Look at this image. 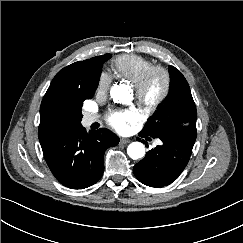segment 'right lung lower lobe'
<instances>
[{
    "label": "right lung lower lobe",
    "mask_w": 243,
    "mask_h": 243,
    "mask_svg": "<svg viewBox=\"0 0 243 243\" xmlns=\"http://www.w3.org/2000/svg\"><path fill=\"white\" fill-rule=\"evenodd\" d=\"M38 137L51 172L72 189L96 183L104 171L105 150L119 142L108 129L88 134L81 124L45 129L38 132Z\"/></svg>",
    "instance_id": "obj_1"
}]
</instances>
